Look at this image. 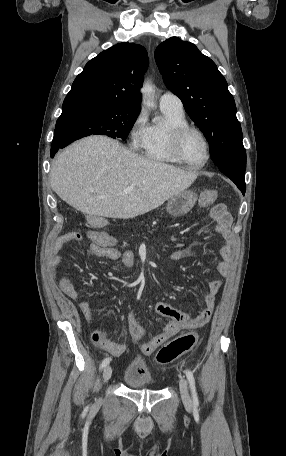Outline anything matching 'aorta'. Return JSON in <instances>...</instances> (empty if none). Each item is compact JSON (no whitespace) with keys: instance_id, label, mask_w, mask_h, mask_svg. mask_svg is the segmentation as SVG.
Segmentation results:
<instances>
[{"instance_id":"obj_1","label":"aorta","mask_w":286,"mask_h":456,"mask_svg":"<svg viewBox=\"0 0 286 456\" xmlns=\"http://www.w3.org/2000/svg\"><path fill=\"white\" fill-rule=\"evenodd\" d=\"M141 93L143 95L144 103L147 106H153V97H154V87L151 84V82L146 81L143 84V87L141 88Z\"/></svg>"}]
</instances>
